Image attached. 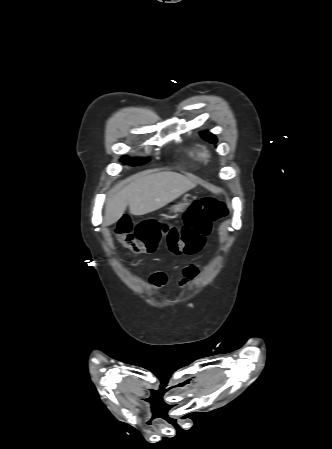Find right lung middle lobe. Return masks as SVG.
Listing matches in <instances>:
<instances>
[{"instance_id": "dd1d6c3e", "label": "right lung middle lobe", "mask_w": 332, "mask_h": 449, "mask_svg": "<svg viewBox=\"0 0 332 449\" xmlns=\"http://www.w3.org/2000/svg\"><path fill=\"white\" fill-rule=\"evenodd\" d=\"M147 161H148L147 159L140 158V159H132V160H130V163L132 165H141V164L146 163Z\"/></svg>"}]
</instances>
